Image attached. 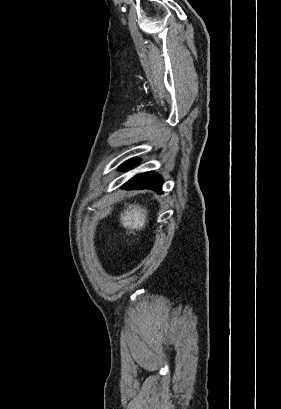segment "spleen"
<instances>
[{"label": "spleen", "instance_id": "spleen-1", "mask_svg": "<svg viewBox=\"0 0 281 409\" xmlns=\"http://www.w3.org/2000/svg\"><path fill=\"white\" fill-rule=\"evenodd\" d=\"M148 211L140 207V205H129L120 215V223L124 229H128L129 233L134 231H142L148 223Z\"/></svg>", "mask_w": 281, "mask_h": 409}]
</instances>
